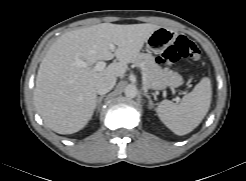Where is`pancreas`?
Returning <instances> with one entry per match:
<instances>
[{
	"label": "pancreas",
	"mask_w": 246,
	"mask_h": 181,
	"mask_svg": "<svg viewBox=\"0 0 246 181\" xmlns=\"http://www.w3.org/2000/svg\"><path fill=\"white\" fill-rule=\"evenodd\" d=\"M133 63L141 68L143 83L147 88L160 90L164 88L170 80L175 78L173 72L168 69H162L149 53L139 54Z\"/></svg>",
	"instance_id": "1"
}]
</instances>
